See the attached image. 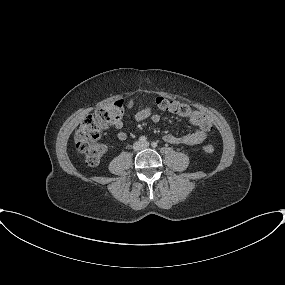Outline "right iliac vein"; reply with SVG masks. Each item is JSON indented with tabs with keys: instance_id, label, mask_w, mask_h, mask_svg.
<instances>
[{
	"instance_id": "right-iliac-vein-1",
	"label": "right iliac vein",
	"mask_w": 285,
	"mask_h": 285,
	"mask_svg": "<svg viewBox=\"0 0 285 285\" xmlns=\"http://www.w3.org/2000/svg\"><path fill=\"white\" fill-rule=\"evenodd\" d=\"M142 148H143V146L139 142L134 145L135 150H141Z\"/></svg>"
}]
</instances>
